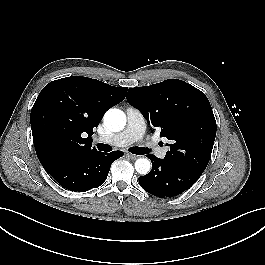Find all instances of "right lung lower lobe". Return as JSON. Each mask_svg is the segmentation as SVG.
<instances>
[{"label":"right lung lower lobe","instance_id":"98d812e1","mask_svg":"<svg viewBox=\"0 0 265 265\" xmlns=\"http://www.w3.org/2000/svg\"><path fill=\"white\" fill-rule=\"evenodd\" d=\"M123 155L122 151H97L55 162L44 169L65 189L84 192L101 186L112 162Z\"/></svg>","mask_w":265,"mask_h":265}]
</instances>
